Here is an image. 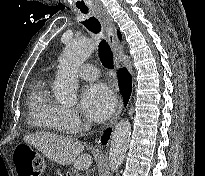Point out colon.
Segmentation results:
<instances>
[{"instance_id":"obj_1","label":"colon","mask_w":205,"mask_h":176,"mask_svg":"<svg viewBox=\"0 0 205 176\" xmlns=\"http://www.w3.org/2000/svg\"><path fill=\"white\" fill-rule=\"evenodd\" d=\"M13 161L20 176H41L45 168L43 157L28 147H18Z\"/></svg>"}]
</instances>
